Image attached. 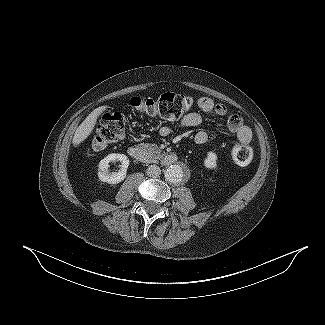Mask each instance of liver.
I'll use <instances>...</instances> for the list:
<instances>
[{
	"mask_svg": "<svg viewBox=\"0 0 325 325\" xmlns=\"http://www.w3.org/2000/svg\"><path fill=\"white\" fill-rule=\"evenodd\" d=\"M108 107L102 106L93 110L86 119L78 126L73 136V145L77 147L81 144L84 140L88 138V136L93 131L97 118L105 111Z\"/></svg>",
	"mask_w": 325,
	"mask_h": 325,
	"instance_id": "liver-1",
	"label": "liver"
}]
</instances>
